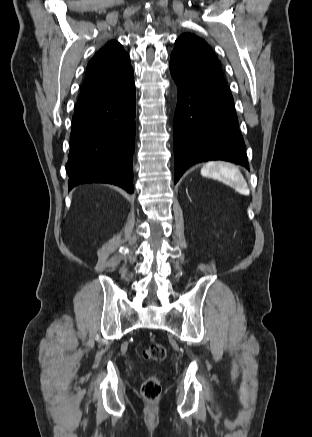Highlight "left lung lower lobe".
<instances>
[{"instance_id":"left-lung-lower-lobe-1","label":"left lung lower lobe","mask_w":312,"mask_h":437,"mask_svg":"<svg viewBox=\"0 0 312 437\" xmlns=\"http://www.w3.org/2000/svg\"><path fill=\"white\" fill-rule=\"evenodd\" d=\"M170 71L178 87L173 124L174 183L191 165L209 160L229 161L249 169L227 84L174 53Z\"/></svg>"}]
</instances>
